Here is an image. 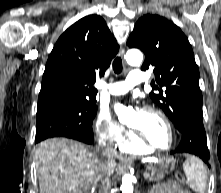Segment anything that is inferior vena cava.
I'll list each match as a JSON object with an SVG mask.
<instances>
[{
	"mask_svg": "<svg viewBox=\"0 0 221 193\" xmlns=\"http://www.w3.org/2000/svg\"><path fill=\"white\" fill-rule=\"evenodd\" d=\"M99 149L103 151V153H110L112 152L111 144L106 143L105 140L99 141ZM110 190V184L108 177L105 178L104 181H102V184L100 185L99 193H109Z\"/></svg>",
	"mask_w": 221,
	"mask_h": 193,
	"instance_id": "602c4592",
	"label": "inferior vena cava"
}]
</instances>
